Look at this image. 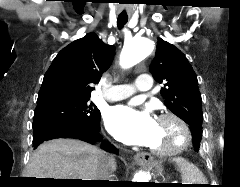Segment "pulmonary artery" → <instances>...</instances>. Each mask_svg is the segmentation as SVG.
Here are the masks:
<instances>
[{
  "instance_id": "e3ab8cb5",
  "label": "pulmonary artery",
  "mask_w": 240,
  "mask_h": 187,
  "mask_svg": "<svg viewBox=\"0 0 240 187\" xmlns=\"http://www.w3.org/2000/svg\"><path fill=\"white\" fill-rule=\"evenodd\" d=\"M152 87V78L149 74H140L134 84L114 85L103 94L108 101H120L134 95L137 91H148Z\"/></svg>"
}]
</instances>
